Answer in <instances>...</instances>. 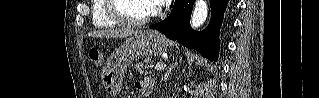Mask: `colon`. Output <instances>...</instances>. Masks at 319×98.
I'll use <instances>...</instances> for the list:
<instances>
[{"instance_id": "1", "label": "colon", "mask_w": 319, "mask_h": 98, "mask_svg": "<svg viewBox=\"0 0 319 98\" xmlns=\"http://www.w3.org/2000/svg\"><path fill=\"white\" fill-rule=\"evenodd\" d=\"M89 57L91 61H93L97 65H100L102 63V55L98 49H95V48L90 49Z\"/></svg>"}]
</instances>
